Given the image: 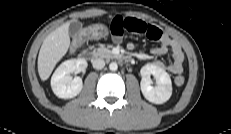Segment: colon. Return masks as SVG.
Returning a JSON list of instances; mask_svg holds the SVG:
<instances>
[{"mask_svg":"<svg viewBox=\"0 0 231 134\" xmlns=\"http://www.w3.org/2000/svg\"><path fill=\"white\" fill-rule=\"evenodd\" d=\"M110 35L109 29L104 24H94L84 28L73 40L72 47H78L86 39H97ZM177 86H182L185 78L181 75L174 80Z\"/></svg>","mask_w":231,"mask_h":134,"instance_id":"1","label":"colon"}]
</instances>
